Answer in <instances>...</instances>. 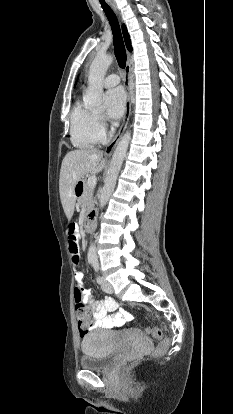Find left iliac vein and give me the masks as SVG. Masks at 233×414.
Masks as SVG:
<instances>
[{
    "label": "left iliac vein",
    "mask_w": 233,
    "mask_h": 414,
    "mask_svg": "<svg viewBox=\"0 0 233 414\" xmlns=\"http://www.w3.org/2000/svg\"><path fill=\"white\" fill-rule=\"evenodd\" d=\"M101 287H102V290L106 293L111 294L114 292L112 285L105 279H103V283Z\"/></svg>",
    "instance_id": "left-iliac-vein-1"
}]
</instances>
